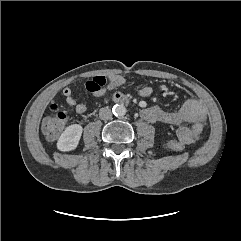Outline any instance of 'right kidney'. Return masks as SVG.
<instances>
[{
  "mask_svg": "<svg viewBox=\"0 0 241 241\" xmlns=\"http://www.w3.org/2000/svg\"><path fill=\"white\" fill-rule=\"evenodd\" d=\"M83 128L79 124H73L68 126L57 142V148L60 151H71L74 150L80 141Z\"/></svg>",
  "mask_w": 241,
  "mask_h": 241,
  "instance_id": "right-kidney-1",
  "label": "right kidney"
}]
</instances>
